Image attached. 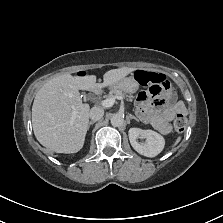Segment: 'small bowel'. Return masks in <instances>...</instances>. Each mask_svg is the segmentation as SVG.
<instances>
[{
  "label": "small bowel",
  "mask_w": 223,
  "mask_h": 223,
  "mask_svg": "<svg viewBox=\"0 0 223 223\" xmlns=\"http://www.w3.org/2000/svg\"><path fill=\"white\" fill-rule=\"evenodd\" d=\"M136 107L139 116L152 124L161 133L171 131V121L175 114L184 113L186 108L182 102L176 101L171 84L150 86L146 91L138 94Z\"/></svg>",
  "instance_id": "obj_1"
}]
</instances>
